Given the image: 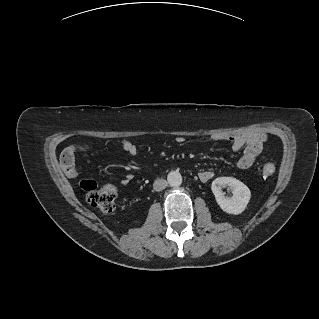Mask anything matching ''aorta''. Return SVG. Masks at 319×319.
Wrapping results in <instances>:
<instances>
[{"label":"aorta","instance_id":"762f6f07","mask_svg":"<svg viewBox=\"0 0 319 319\" xmlns=\"http://www.w3.org/2000/svg\"><path fill=\"white\" fill-rule=\"evenodd\" d=\"M169 185L173 188H177L182 184V176L178 172L169 174L168 176Z\"/></svg>","mask_w":319,"mask_h":319}]
</instances>
